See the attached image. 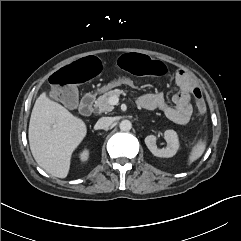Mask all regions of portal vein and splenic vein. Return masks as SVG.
<instances>
[{"label": "portal vein and splenic vein", "mask_w": 241, "mask_h": 241, "mask_svg": "<svg viewBox=\"0 0 241 241\" xmlns=\"http://www.w3.org/2000/svg\"><path fill=\"white\" fill-rule=\"evenodd\" d=\"M108 102L111 106L117 105L118 102H119V97L118 96H112V97L109 98Z\"/></svg>", "instance_id": "18ae733b"}]
</instances>
